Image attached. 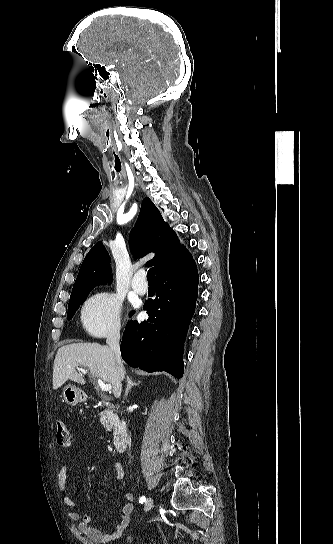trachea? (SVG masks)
<instances>
[{
	"label": "trachea",
	"instance_id": "obj_1",
	"mask_svg": "<svg viewBox=\"0 0 333 544\" xmlns=\"http://www.w3.org/2000/svg\"><path fill=\"white\" fill-rule=\"evenodd\" d=\"M147 279H148V282H152V283L156 282L154 268H150L148 270Z\"/></svg>",
	"mask_w": 333,
	"mask_h": 544
}]
</instances>
